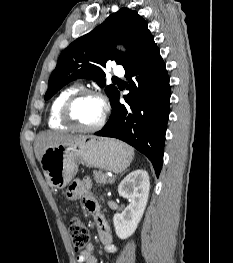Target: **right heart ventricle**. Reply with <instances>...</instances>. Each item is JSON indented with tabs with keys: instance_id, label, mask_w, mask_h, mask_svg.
<instances>
[{
	"instance_id": "obj_1",
	"label": "right heart ventricle",
	"mask_w": 233,
	"mask_h": 263,
	"mask_svg": "<svg viewBox=\"0 0 233 263\" xmlns=\"http://www.w3.org/2000/svg\"><path fill=\"white\" fill-rule=\"evenodd\" d=\"M78 90L79 88L77 86H69L61 90L52 100L48 113V126L51 129L63 130L68 128L61 120V108L65 100Z\"/></svg>"
}]
</instances>
